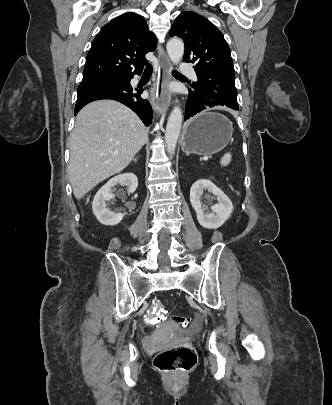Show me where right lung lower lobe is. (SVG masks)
Masks as SVG:
<instances>
[{"label":"right lung lower lobe","instance_id":"right-lung-lower-lobe-1","mask_svg":"<svg viewBox=\"0 0 332 405\" xmlns=\"http://www.w3.org/2000/svg\"><path fill=\"white\" fill-rule=\"evenodd\" d=\"M136 73V74H140ZM134 75L125 76L120 80H94L80 84L78 87L75 115L86 104L100 99H114L131 108L149 126L152 120V108L147 100L140 97L143 89L133 88L130 84Z\"/></svg>","mask_w":332,"mask_h":405}]
</instances>
